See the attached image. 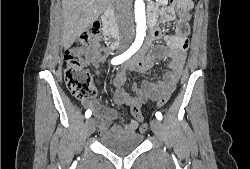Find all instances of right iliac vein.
Masks as SVG:
<instances>
[{
  "instance_id": "right-iliac-vein-1",
  "label": "right iliac vein",
  "mask_w": 250,
  "mask_h": 169,
  "mask_svg": "<svg viewBox=\"0 0 250 169\" xmlns=\"http://www.w3.org/2000/svg\"><path fill=\"white\" fill-rule=\"evenodd\" d=\"M95 130V123L92 118L86 120L85 123V135L89 137Z\"/></svg>"
}]
</instances>
